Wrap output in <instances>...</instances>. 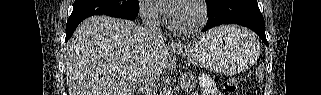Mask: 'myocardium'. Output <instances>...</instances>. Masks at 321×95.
<instances>
[{
	"mask_svg": "<svg viewBox=\"0 0 321 95\" xmlns=\"http://www.w3.org/2000/svg\"><path fill=\"white\" fill-rule=\"evenodd\" d=\"M183 6H192L197 12V21L190 27L182 28L175 24L174 20L170 18L168 26L170 30L181 35H190L197 33L205 25L208 19V10L202 0H187L181 4Z\"/></svg>",
	"mask_w": 321,
	"mask_h": 95,
	"instance_id": "f54148a6",
	"label": "myocardium"
}]
</instances>
